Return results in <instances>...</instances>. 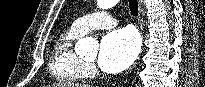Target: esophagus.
I'll return each mask as SVG.
<instances>
[{"label": "esophagus", "instance_id": "34e87169", "mask_svg": "<svg viewBox=\"0 0 205 87\" xmlns=\"http://www.w3.org/2000/svg\"><path fill=\"white\" fill-rule=\"evenodd\" d=\"M139 5V18L142 16V0H137Z\"/></svg>", "mask_w": 205, "mask_h": 87}]
</instances>
